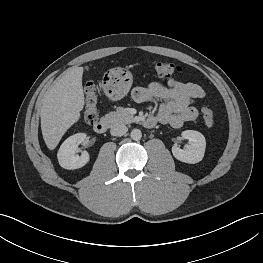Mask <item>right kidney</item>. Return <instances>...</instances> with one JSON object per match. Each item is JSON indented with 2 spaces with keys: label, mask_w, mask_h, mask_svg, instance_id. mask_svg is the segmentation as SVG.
Returning <instances> with one entry per match:
<instances>
[{
  "label": "right kidney",
  "mask_w": 263,
  "mask_h": 263,
  "mask_svg": "<svg viewBox=\"0 0 263 263\" xmlns=\"http://www.w3.org/2000/svg\"><path fill=\"white\" fill-rule=\"evenodd\" d=\"M86 134L77 133L67 138L59 148L57 157L62 168L73 170L83 167L89 162L90 156L88 152L83 151L81 156L76 153L79 152L78 146L85 142Z\"/></svg>",
  "instance_id": "obj_1"
}]
</instances>
